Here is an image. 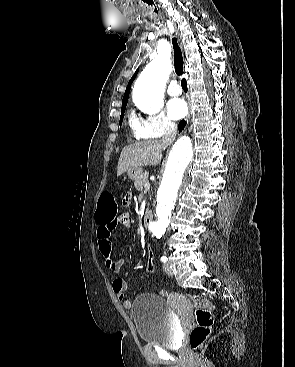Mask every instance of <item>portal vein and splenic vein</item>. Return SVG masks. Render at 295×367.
<instances>
[{"mask_svg": "<svg viewBox=\"0 0 295 367\" xmlns=\"http://www.w3.org/2000/svg\"><path fill=\"white\" fill-rule=\"evenodd\" d=\"M149 188H150L149 182L145 183V190L147 191V190H149Z\"/></svg>", "mask_w": 295, "mask_h": 367, "instance_id": "portal-vein-and-splenic-vein-1", "label": "portal vein and splenic vein"}]
</instances>
